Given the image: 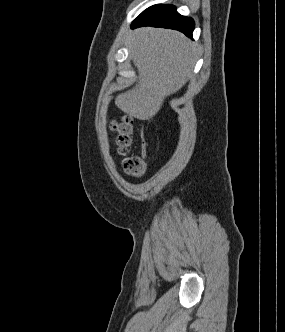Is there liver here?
<instances>
[{"label":"liver","instance_id":"liver-1","mask_svg":"<svg viewBox=\"0 0 285 332\" xmlns=\"http://www.w3.org/2000/svg\"><path fill=\"white\" fill-rule=\"evenodd\" d=\"M129 48L138 82L119 94L115 104L129 116L149 120L161 109L164 99L190 78L196 47L178 31L143 27L133 31Z\"/></svg>","mask_w":285,"mask_h":332}]
</instances>
